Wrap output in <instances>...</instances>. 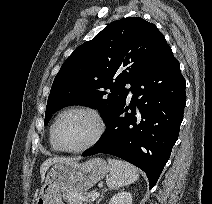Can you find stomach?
<instances>
[{"mask_svg":"<svg viewBox=\"0 0 212 204\" xmlns=\"http://www.w3.org/2000/svg\"><path fill=\"white\" fill-rule=\"evenodd\" d=\"M107 171L106 162L100 158L84 163L74 160L55 163L44 178L35 204H63L61 192H87Z\"/></svg>","mask_w":212,"mask_h":204,"instance_id":"stomach-1","label":"stomach"}]
</instances>
